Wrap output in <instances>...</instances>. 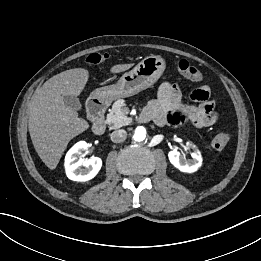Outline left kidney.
Wrapping results in <instances>:
<instances>
[{
	"instance_id": "left-kidney-1",
	"label": "left kidney",
	"mask_w": 261,
	"mask_h": 261,
	"mask_svg": "<svg viewBox=\"0 0 261 261\" xmlns=\"http://www.w3.org/2000/svg\"><path fill=\"white\" fill-rule=\"evenodd\" d=\"M187 146L193 148L194 152L191 153L192 159H185L180 156V153L176 150H172L168 153L170 163L179 169L181 172L193 173L197 171L202 165V156L200 151L195 145L187 143Z\"/></svg>"
}]
</instances>
